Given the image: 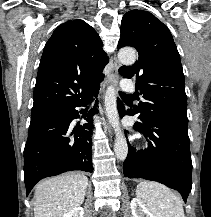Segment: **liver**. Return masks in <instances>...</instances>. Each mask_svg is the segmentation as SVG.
I'll return each mask as SVG.
<instances>
[{
  "mask_svg": "<svg viewBox=\"0 0 211 217\" xmlns=\"http://www.w3.org/2000/svg\"><path fill=\"white\" fill-rule=\"evenodd\" d=\"M88 179L71 173L44 180L35 187L34 217H63L84 201Z\"/></svg>",
  "mask_w": 211,
  "mask_h": 217,
  "instance_id": "obj_1",
  "label": "liver"
}]
</instances>
